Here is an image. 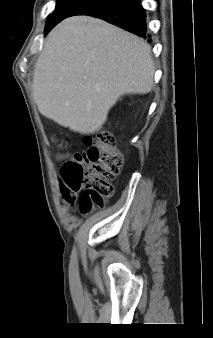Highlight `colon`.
I'll list each match as a JSON object with an SVG mask.
<instances>
[{
	"instance_id": "5ec220e1",
	"label": "colon",
	"mask_w": 213,
	"mask_h": 338,
	"mask_svg": "<svg viewBox=\"0 0 213 338\" xmlns=\"http://www.w3.org/2000/svg\"><path fill=\"white\" fill-rule=\"evenodd\" d=\"M85 143L87 151L76 153L62 165L60 181L70 192L80 193V210L88 214L103 207V198L112 196L111 182L121 172L123 156L109 133L89 134Z\"/></svg>"
}]
</instances>
